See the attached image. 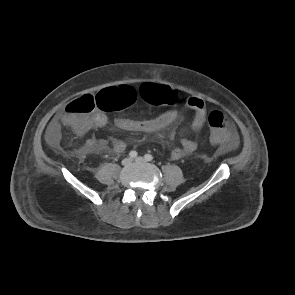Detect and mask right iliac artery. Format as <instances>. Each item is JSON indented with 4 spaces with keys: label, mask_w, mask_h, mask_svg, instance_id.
<instances>
[{
    "label": "right iliac artery",
    "mask_w": 295,
    "mask_h": 295,
    "mask_svg": "<svg viewBox=\"0 0 295 295\" xmlns=\"http://www.w3.org/2000/svg\"><path fill=\"white\" fill-rule=\"evenodd\" d=\"M137 152L136 151H131L130 153H129V156H130V158H136L137 157Z\"/></svg>",
    "instance_id": "obj_1"
}]
</instances>
